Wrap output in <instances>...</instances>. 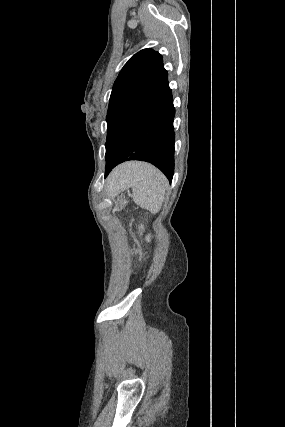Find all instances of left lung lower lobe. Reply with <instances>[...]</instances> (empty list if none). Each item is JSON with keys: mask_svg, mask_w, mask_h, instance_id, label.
Returning a JSON list of instances; mask_svg holds the SVG:
<instances>
[{"mask_svg": "<svg viewBox=\"0 0 285 427\" xmlns=\"http://www.w3.org/2000/svg\"><path fill=\"white\" fill-rule=\"evenodd\" d=\"M175 108L168 80L129 123L121 137L105 176L129 160L150 162L171 182L174 173Z\"/></svg>", "mask_w": 285, "mask_h": 427, "instance_id": "1", "label": "left lung lower lobe"}]
</instances>
